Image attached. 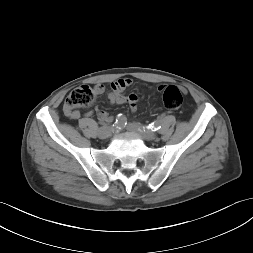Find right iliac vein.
Returning a JSON list of instances; mask_svg holds the SVG:
<instances>
[{"instance_id": "63e3f726", "label": "right iliac vein", "mask_w": 253, "mask_h": 253, "mask_svg": "<svg viewBox=\"0 0 253 253\" xmlns=\"http://www.w3.org/2000/svg\"><path fill=\"white\" fill-rule=\"evenodd\" d=\"M111 134H112V127L110 126H104L100 128L99 133H98L101 139H107L111 136Z\"/></svg>"}]
</instances>
